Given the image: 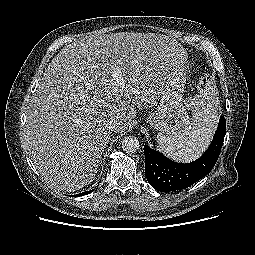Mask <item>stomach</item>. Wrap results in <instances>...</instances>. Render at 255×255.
<instances>
[{
	"instance_id": "0dacf381",
	"label": "stomach",
	"mask_w": 255,
	"mask_h": 255,
	"mask_svg": "<svg viewBox=\"0 0 255 255\" xmlns=\"http://www.w3.org/2000/svg\"><path fill=\"white\" fill-rule=\"evenodd\" d=\"M187 73L188 65H185L176 75L174 82L165 86L156 110L147 117L146 122L156 130L168 135H180L192 129L182 100Z\"/></svg>"
}]
</instances>
